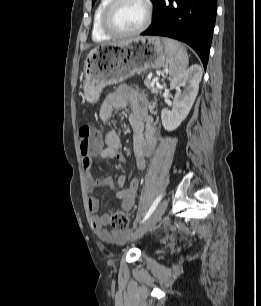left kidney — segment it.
Segmentation results:
<instances>
[{"instance_id": "1", "label": "left kidney", "mask_w": 261, "mask_h": 306, "mask_svg": "<svg viewBox=\"0 0 261 306\" xmlns=\"http://www.w3.org/2000/svg\"><path fill=\"white\" fill-rule=\"evenodd\" d=\"M201 79L202 68L195 64L171 80L170 87L176 90V94L172 110L165 108L161 112V120L165 130L177 129L187 117L197 97ZM181 87H185V89L182 91Z\"/></svg>"}]
</instances>
